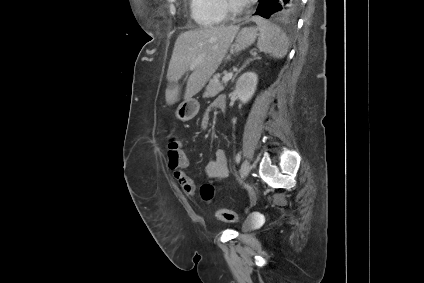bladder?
I'll return each instance as SVG.
<instances>
[{
  "label": "bladder",
  "instance_id": "1",
  "mask_svg": "<svg viewBox=\"0 0 424 283\" xmlns=\"http://www.w3.org/2000/svg\"><path fill=\"white\" fill-rule=\"evenodd\" d=\"M258 228V223L256 219L252 216H249L242 225L243 232H250Z\"/></svg>",
  "mask_w": 424,
  "mask_h": 283
}]
</instances>
